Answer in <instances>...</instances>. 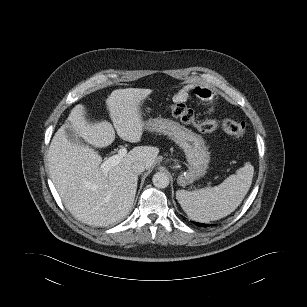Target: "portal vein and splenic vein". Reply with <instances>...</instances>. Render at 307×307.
Returning <instances> with one entry per match:
<instances>
[{
  "label": "portal vein and splenic vein",
  "instance_id": "18ae733b",
  "mask_svg": "<svg viewBox=\"0 0 307 307\" xmlns=\"http://www.w3.org/2000/svg\"><path fill=\"white\" fill-rule=\"evenodd\" d=\"M127 154V149L122 147L119 149L118 154H115L108 159H106L101 165L100 168L104 174H107L108 171L115 165L119 164L123 157Z\"/></svg>",
  "mask_w": 307,
  "mask_h": 307
}]
</instances>
